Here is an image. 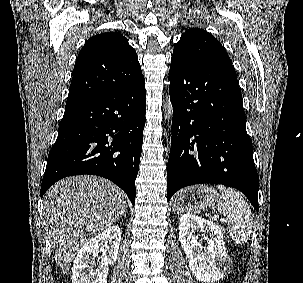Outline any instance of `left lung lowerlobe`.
Masks as SVG:
<instances>
[{
	"label": "left lung lower lobe",
	"mask_w": 303,
	"mask_h": 283,
	"mask_svg": "<svg viewBox=\"0 0 303 283\" xmlns=\"http://www.w3.org/2000/svg\"><path fill=\"white\" fill-rule=\"evenodd\" d=\"M173 106L168 201L179 189L216 183L240 190L258 211V175L237 75L232 64L172 59Z\"/></svg>",
	"instance_id": "left-lung-lower-lobe-1"
}]
</instances>
